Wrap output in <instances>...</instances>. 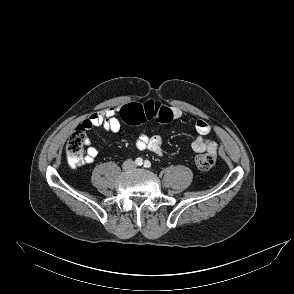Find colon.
Here are the masks:
<instances>
[{
  "label": "colon",
  "instance_id": "colon-1",
  "mask_svg": "<svg viewBox=\"0 0 294 294\" xmlns=\"http://www.w3.org/2000/svg\"><path fill=\"white\" fill-rule=\"evenodd\" d=\"M120 117L128 124L139 125L148 120L169 122L172 120L171 109L159 102L130 103L121 108ZM85 131L79 126L69 136L66 144L67 161L71 167H78L84 163ZM216 161V155L205 152L197 155L196 166L201 171L210 170Z\"/></svg>",
  "mask_w": 294,
  "mask_h": 294
}]
</instances>
